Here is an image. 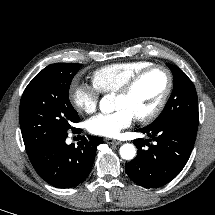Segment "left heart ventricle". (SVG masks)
I'll return each instance as SVG.
<instances>
[{
    "label": "left heart ventricle",
    "mask_w": 215,
    "mask_h": 215,
    "mask_svg": "<svg viewBox=\"0 0 215 215\" xmlns=\"http://www.w3.org/2000/svg\"><path fill=\"white\" fill-rule=\"evenodd\" d=\"M167 85V77L161 70L146 75L127 96L117 95L115 108H126L134 117L149 113L161 99Z\"/></svg>",
    "instance_id": "obj_1"
}]
</instances>
